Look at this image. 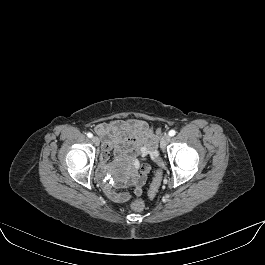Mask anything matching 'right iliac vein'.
Wrapping results in <instances>:
<instances>
[{
    "mask_svg": "<svg viewBox=\"0 0 265 265\" xmlns=\"http://www.w3.org/2000/svg\"><path fill=\"white\" fill-rule=\"evenodd\" d=\"M92 142H93L95 145H99V143H100V140H99V138H98V137H96V136H93V137H92Z\"/></svg>",
    "mask_w": 265,
    "mask_h": 265,
    "instance_id": "63e3f726",
    "label": "right iliac vein"
}]
</instances>
